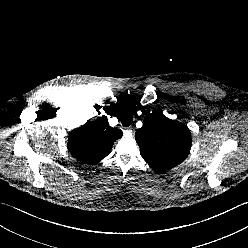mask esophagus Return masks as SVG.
Here are the masks:
<instances>
[{
    "label": "esophagus",
    "mask_w": 248,
    "mask_h": 248,
    "mask_svg": "<svg viewBox=\"0 0 248 248\" xmlns=\"http://www.w3.org/2000/svg\"><path fill=\"white\" fill-rule=\"evenodd\" d=\"M125 133H126V135L131 136L134 133V127L130 126V127L126 128Z\"/></svg>",
    "instance_id": "obj_1"
}]
</instances>
